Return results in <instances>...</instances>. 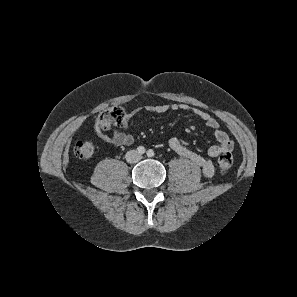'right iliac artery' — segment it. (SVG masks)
<instances>
[{"mask_svg": "<svg viewBox=\"0 0 297 297\" xmlns=\"http://www.w3.org/2000/svg\"><path fill=\"white\" fill-rule=\"evenodd\" d=\"M137 151H138L139 154H144L146 150H145V148L143 146H139L137 148Z\"/></svg>", "mask_w": 297, "mask_h": 297, "instance_id": "1", "label": "right iliac artery"}]
</instances>
